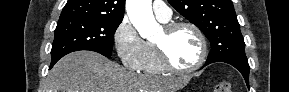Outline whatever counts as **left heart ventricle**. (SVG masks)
Here are the masks:
<instances>
[{
    "instance_id": "1",
    "label": "left heart ventricle",
    "mask_w": 289,
    "mask_h": 92,
    "mask_svg": "<svg viewBox=\"0 0 289 92\" xmlns=\"http://www.w3.org/2000/svg\"><path fill=\"white\" fill-rule=\"evenodd\" d=\"M154 42L164 46L171 62L179 68L193 66L200 56V42L190 28H180L172 34L162 29Z\"/></svg>"
}]
</instances>
